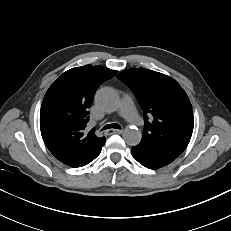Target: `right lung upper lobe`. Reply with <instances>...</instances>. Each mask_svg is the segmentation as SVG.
Wrapping results in <instances>:
<instances>
[{
  "label": "right lung upper lobe",
  "instance_id": "obj_1",
  "mask_svg": "<svg viewBox=\"0 0 231 231\" xmlns=\"http://www.w3.org/2000/svg\"><path fill=\"white\" fill-rule=\"evenodd\" d=\"M116 73L102 66L76 67L63 73L47 90L40 111L41 134L62 163L80 167L101 151L106 138L85 130L88 109L96 89Z\"/></svg>",
  "mask_w": 231,
  "mask_h": 231
}]
</instances>
